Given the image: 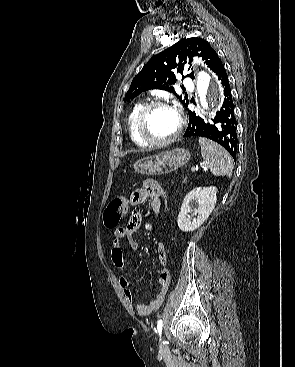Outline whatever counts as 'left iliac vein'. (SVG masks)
Returning <instances> with one entry per match:
<instances>
[{
	"label": "left iliac vein",
	"mask_w": 295,
	"mask_h": 367,
	"mask_svg": "<svg viewBox=\"0 0 295 367\" xmlns=\"http://www.w3.org/2000/svg\"><path fill=\"white\" fill-rule=\"evenodd\" d=\"M168 352V346L164 338L160 339V353L166 354Z\"/></svg>",
	"instance_id": "1"
}]
</instances>
